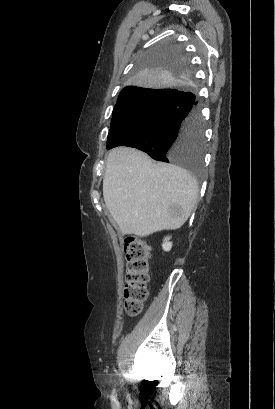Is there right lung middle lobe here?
<instances>
[{"instance_id":"dd1d6c3e","label":"right lung middle lobe","mask_w":275,"mask_h":409,"mask_svg":"<svg viewBox=\"0 0 275 409\" xmlns=\"http://www.w3.org/2000/svg\"><path fill=\"white\" fill-rule=\"evenodd\" d=\"M164 50L144 53L127 85L135 93L118 102L113 110L107 149L129 146L146 152L153 159L184 167L193 173L194 182H202L204 143L198 95L186 58L172 43Z\"/></svg>"}]
</instances>
